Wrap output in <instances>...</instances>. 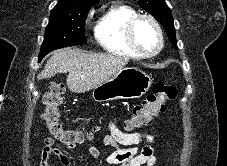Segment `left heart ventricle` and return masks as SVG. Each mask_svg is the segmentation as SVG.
Here are the masks:
<instances>
[{"instance_id": "obj_1", "label": "left heart ventricle", "mask_w": 227, "mask_h": 166, "mask_svg": "<svg viewBox=\"0 0 227 166\" xmlns=\"http://www.w3.org/2000/svg\"><path fill=\"white\" fill-rule=\"evenodd\" d=\"M135 38L139 47L145 52H152L158 46V35L147 20H141L135 27Z\"/></svg>"}]
</instances>
